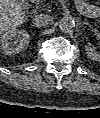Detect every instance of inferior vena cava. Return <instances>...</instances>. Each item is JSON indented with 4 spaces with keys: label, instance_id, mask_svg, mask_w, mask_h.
Instances as JSON below:
<instances>
[{
    "label": "inferior vena cava",
    "instance_id": "obj_1",
    "mask_svg": "<svg viewBox=\"0 0 100 118\" xmlns=\"http://www.w3.org/2000/svg\"><path fill=\"white\" fill-rule=\"evenodd\" d=\"M52 22V19L49 15L39 14L33 17V24L36 27H45Z\"/></svg>",
    "mask_w": 100,
    "mask_h": 118
}]
</instances>
